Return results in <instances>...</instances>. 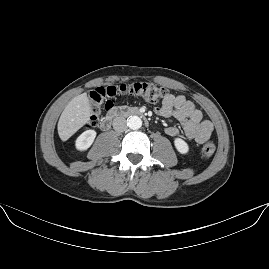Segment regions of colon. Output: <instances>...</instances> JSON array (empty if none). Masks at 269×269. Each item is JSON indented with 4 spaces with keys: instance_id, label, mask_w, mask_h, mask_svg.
Here are the masks:
<instances>
[{
    "instance_id": "obj_1",
    "label": "colon",
    "mask_w": 269,
    "mask_h": 269,
    "mask_svg": "<svg viewBox=\"0 0 269 269\" xmlns=\"http://www.w3.org/2000/svg\"><path fill=\"white\" fill-rule=\"evenodd\" d=\"M169 93L170 91L167 87L152 82H134L107 87H96L89 93L91 99L90 103L95 108L90 122L98 121L99 113L103 111L102 103L107 99L117 98L123 94H130L140 97L148 103H158L164 101L169 96ZM103 108L106 110L104 105ZM86 127H89V125L86 124ZM215 150V144L212 141H208L203 145L201 155L204 159H208L215 153Z\"/></svg>"
}]
</instances>
